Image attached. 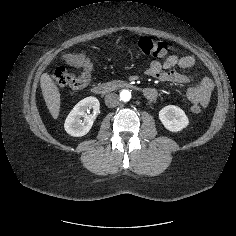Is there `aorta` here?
<instances>
[{
    "label": "aorta",
    "mask_w": 236,
    "mask_h": 236,
    "mask_svg": "<svg viewBox=\"0 0 236 236\" xmlns=\"http://www.w3.org/2000/svg\"><path fill=\"white\" fill-rule=\"evenodd\" d=\"M120 99L124 102H127L131 99V92L129 90H122L120 92Z\"/></svg>",
    "instance_id": "762f6f07"
}]
</instances>
